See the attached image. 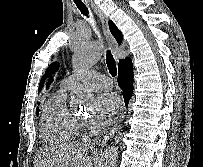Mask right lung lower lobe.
Here are the masks:
<instances>
[{"label": "right lung lower lobe", "mask_w": 203, "mask_h": 167, "mask_svg": "<svg viewBox=\"0 0 203 167\" xmlns=\"http://www.w3.org/2000/svg\"><path fill=\"white\" fill-rule=\"evenodd\" d=\"M118 85L123 90V97L127 105L133 93V68L131 59L119 64Z\"/></svg>", "instance_id": "1"}]
</instances>
